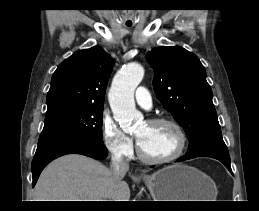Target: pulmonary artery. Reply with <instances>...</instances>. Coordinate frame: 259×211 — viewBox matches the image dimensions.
<instances>
[{
    "label": "pulmonary artery",
    "instance_id": "pulmonary-artery-1",
    "mask_svg": "<svg viewBox=\"0 0 259 211\" xmlns=\"http://www.w3.org/2000/svg\"><path fill=\"white\" fill-rule=\"evenodd\" d=\"M135 99L137 103L144 108H149L152 105L151 95L145 87L137 88L135 93Z\"/></svg>",
    "mask_w": 259,
    "mask_h": 211
}]
</instances>
